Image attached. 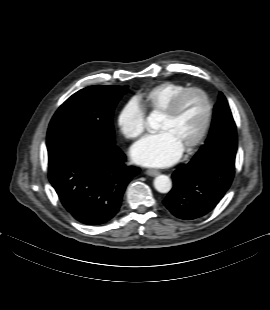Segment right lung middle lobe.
<instances>
[{
    "label": "right lung middle lobe",
    "mask_w": 270,
    "mask_h": 310,
    "mask_svg": "<svg viewBox=\"0 0 270 310\" xmlns=\"http://www.w3.org/2000/svg\"><path fill=\"white\" fill-rule=\"evenodd\" d=\"M128 86L94 85L68 98L53 116L47 139H91L114 144L113 111Z\"/></svg>",
    "instance_id": "obj_1"
}]
</instances>
